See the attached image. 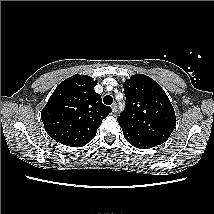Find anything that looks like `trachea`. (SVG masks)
I'll list each match as a JSON object with an SVG mask.
<instances>
[{"label": "trachea", "instance_id": "3493384b", "mask_svg": "<svg viewBox=\"0 0 214 214\" xmlns=\"http://www.w3.org/2000/svg\"><path fill=\"white\" fill-rule=\"evenodd\" d=\"M103 102H104L106 105H111L112 102H113L112 96L106 95V96L103 98Z\"/></svg>", "mask_w": 214, "mask_h": 214}]
</instances>
